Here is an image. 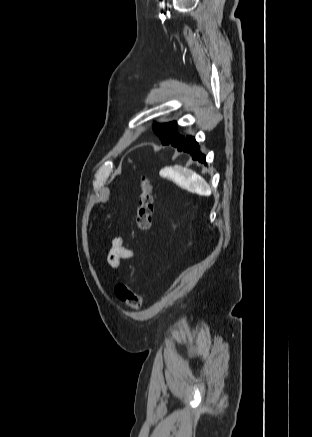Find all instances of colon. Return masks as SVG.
Here are the masks:
<instances>
[{
    "instance_id": "obj_1",
    "label": "colon",
    "mask_w": 312,
    "mask_h": 437,
    "mask_svg": "<svg viewBox=\"0 0 312 437\" xmlns=\"http://www.w3.org/2000/svg\"><path fill=\"white\" fill-rule=\"evenodd\" d=\"M154 211L152 187L147 176L143 175L140 179V195L136 209V222L140 231L146 232L152 224V214ZM115 293L119 300L124 302L129 308L138 310L142 306V297L133 287L124 282H120L115 287Z\"/></svg>"
}]
</instances>
